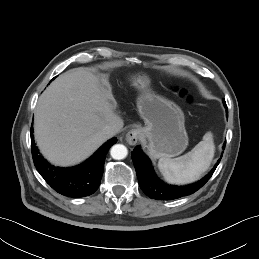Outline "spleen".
<instances>
[{
  "mask_svg": "<svg viewBox=\"0 0 259 259\" xmlns=\"http://www.w3.org/2000/svg\"><path fill=\"white\" fill-rule=\"evenodd\" d=\"M215 153L212 132H207L190 152L171 159H159L158 168L164 178L172 184H188L198 180L209 168Z\"/></svg>",
  "mask_w": 259,
  "mask_h": 259,
  "instance_id": "1",
  "label": "spleen"
}]
</instances>
